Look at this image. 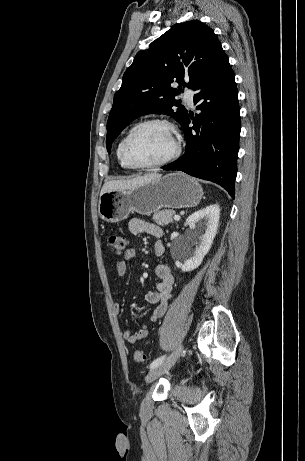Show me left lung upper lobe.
<instances>
[{
  "instance_id": "1",
  "label": "left lung upper lobe",
  "mask_w": 305,
  "mask_h": 461,
  "mask_svg": "<svg viewBox=\"0 0 305 461\" xmlns=\"http://www.w3.org/2000/svg\"><path fill=\"white\" fill-rule=\"evenodd\" d=\"M221 50L213 30L192 20L176 25L153 41L148 50L138 52L114 96L107 121L108 152L124 127L142 115L167 114L181 124L188 112L174 97L182 85L193 89ZM174 81L180 84L179 89L170 87Z\"/></svg>"
}]
</instances>
